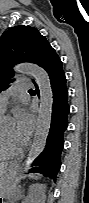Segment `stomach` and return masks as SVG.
Here are the masks:
<instances>
[{"label":"stomach","mask_w":89,"mask_h":203,"mask_svg":"<svg viewBox=\"0 0 89 203\" xmlns=\"http://www.w3.org/2000/svg\"><path fill=\"white\" fill-rule=\"evenodd\" d=\"M16 172H17V167L15 165H10L7 167L5 174L1 179L4 197H9L15 192Z\"/></svg>","instance_id":"1"}]
</instances>
